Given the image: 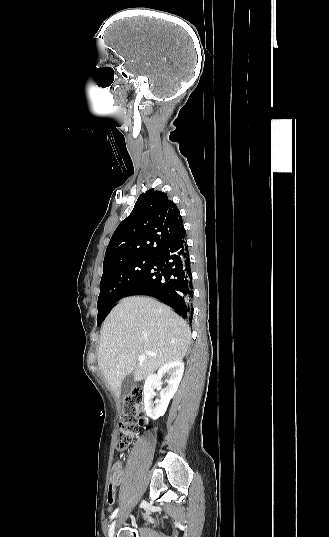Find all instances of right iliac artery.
Instances as JSON below:
<instances>
[{
	"label": "right iliac artery",
	"instance_id": "82829eb1",
	"mask_svg": "<svg viewBox=\"0 0 329 537\" xmlns=\"http://www.w3.org/2000/svg\"><path fill=\"white\" fill-rule=\"evenodd\" d=\"M118 511H119V508H117V509L111 514V516H110V520H113V519L115 518V516L117 515Z\"/></svg>",
	"mask_w": 329,
	"mask_h": 537
}]
</instances>
